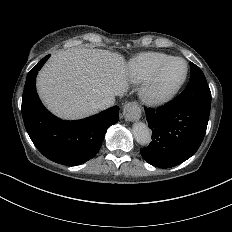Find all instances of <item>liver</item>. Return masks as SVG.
<instances>
[{"instance_id":"liver-1","label":"liver","mask_w":232,"mask_h":232,"mask_svg":"<svg viewBox=\"0 0 232 232\" xmlns=\"http://www.w3.org/2000/svg\"><path fill=\"white\" fill-rule=\"evenodd\" d=\"M125 67V59L108 50H61L39 72L37 92L55 115L80 119L99 111L94 103L126 92L129 79Z\"/></svg>"}]
</instances>
